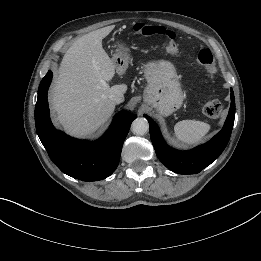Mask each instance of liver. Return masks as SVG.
Returning a JSON list of instances; mask_svg holds the SVG:
<instances>
[{
  "label": "liver",
  "instance_id": "1",
  "mask_svg": "<svg viewBox=\"0 0 261 261\" xmlns=\"http://www.w3.org/2000/svg\"><path fill=\"white\" fill-rule=\"evenodd\" d=\"M109 31L102 28L76 40L65 53L51 95V105L64 130L76 137L88 136L112 115L110 94H124L126 84L107 83L115 64L102 47Z\"/></svg>",
  "mask_w": 261,
  "mask_h": 261
}]
</instances>
